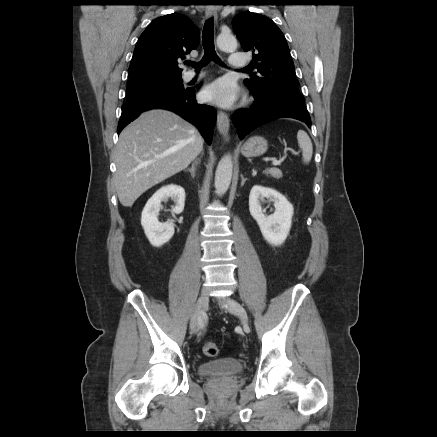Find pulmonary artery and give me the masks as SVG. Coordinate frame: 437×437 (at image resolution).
<instances>
[{
  "mask_svg": "<svg viewBox=\"0 0 437 437\" xmlns=\"http://www.w3.org/2000/svg\"><path fill=\"white\" fill-rule=\"evenodd\" d=\"M247 62L245 57L240 53H232L229 57V66L231 68L237 69V68H243L246 66ZM198 75L194 72H188L186 73L185 77L187 80H191L196 78ZM201 76V75H199Z\"/></svg>",
  "mask_w": 437,
  "mask_h": 437,
  "instance_id": "pulmonary-artery-1",
  "label": "pulmonary artery"
}]
</instances>
